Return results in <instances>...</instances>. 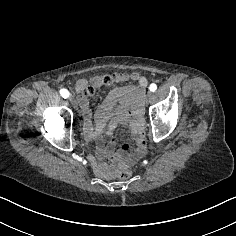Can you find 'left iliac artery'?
I'll list each match as a JSON object with an SVG mask.
<instances>
[{"label":"left iliac artery","mask_w":236,"mask_h":236,"mask_svg":"<svg viewBox=\"0 0 236 236\" xmlns=\"http://www.w3.org/2000/svg\"><path fill=\"white\" fill-rule=\"evenodd\" d=\"M150 91L154 92L157 89L156 84L152 83L149 87Z\"/></svg>","instance_id":"left-iliac-artery-1"}]
</instances>
